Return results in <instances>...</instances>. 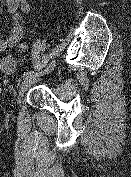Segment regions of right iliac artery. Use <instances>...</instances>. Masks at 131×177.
<instances>
[{
  "label": "right iliac artery",
  "instance_id": "right-iliac-artery-1",
  "mask_svg": "<svg viewBox=\"0 0 131 177\" xmlns=\"http://www.w3.org/2000/svg\"><path fill=\"white\" fill-rule=\"evenodd\" d=\"M48 67H50V64H46V66H44V68H41V69H40V72H41V73H44V72H45V69H48ZM33 74H34V71H28V72H26V73L23 74V78L25 79V78H27V77L33 75Z\"/></svg>",
  "mask_w": 131,
  "mask_h": 177
}]
</instances>
